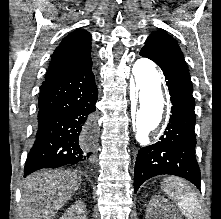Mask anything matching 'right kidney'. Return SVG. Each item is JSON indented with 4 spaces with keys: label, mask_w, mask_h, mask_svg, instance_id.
<instances>
[{
    "label": "right kidney",
    "mask_w": 221,
    "mask_h": 219,
    "mask_svg": "<svg viewBox=\"0 0 221 219\" xmlns=\"http://www.w3.org/2000/svg\"><path fill=\"white\" fill-rule=\"evenodd\" d=\"M60 219H86V206L82 201L71 205Z\"/></svg>",
    "instance_id": "ca27d5eb"
}]
</instances>
